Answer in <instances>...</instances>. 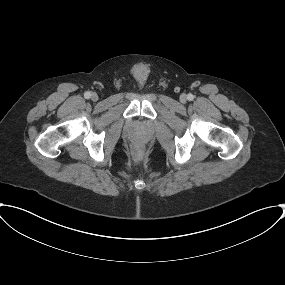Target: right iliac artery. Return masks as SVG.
<instances>
[{
  "instance_id": "1",
  "label": "right iliac artery",
  "mask_w": 285,
  "mask_h": 285,
  "mask_svg": "<svg viewBox=\"0 0 285 285\" xmlns=\"http://www.w3.org/2000/svg\"><path fill=\"white\" fill-rule=\"evenodd\" d=\"M84 97L86 98V99H89L90 97H91V93L90 92H85L84 93Z\"/></svg>"
}]
</instances>
